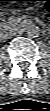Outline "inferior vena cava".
Segmentation results:
<instances>
[{
    "label": "inferior vena cava",
    "mask_w": 50,
    "mask_h": 111,
    "mask_svg": "<svg viewBox=\"0 0 50 111\" xmlns=\"http://www.w3.org/2000/svg\"><path fill=\"white\" fill-rule=\"evenodd\" d=\"M21 34H22V31H14V32L10 33V37L18 36V35H21Z\"/></svg>",
    "instance_id": "inferior-vena-cava-1"
}]
</instances>
